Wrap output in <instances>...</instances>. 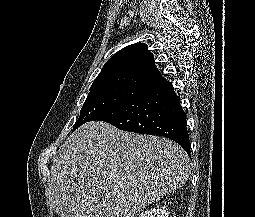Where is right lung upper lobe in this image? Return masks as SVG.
Segmentation results:
<instances>
[{"instance_id":"cb5924a9","label":"right lung upper lobe","mask_w":255,"mask_h":217,"mask_svg":"<svg viewBox=\"0 0 255 217\" xmlns=\"http://www.w3.org/2000/svg\"><path fill=\"white\" fill-rule=\"evenodd\" d=\"M162 78L154 57L144 43H135L116 52L103 66L90 90L114 85L147 87Z\"/></svg>"}]
</instances>
